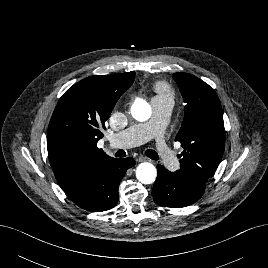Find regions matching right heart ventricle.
<instances>
[{"label": "right heart ventricle", "instance_id": "1", "mask_svg": "<svg viewBox=\"0 0 268 268\" xmlns=\"http://www.w3.org/2000/svg\"><path fill=\"white\" fill-rule=\"evenodd\" d=\"M155 91L158 94V98H163L169 101H172L174 98L173 89L165 82H158L155 85Z\"/></svg>", "mask_w": 268, "mask_h": 268}]
</instances>
